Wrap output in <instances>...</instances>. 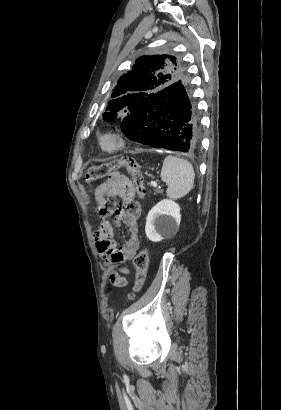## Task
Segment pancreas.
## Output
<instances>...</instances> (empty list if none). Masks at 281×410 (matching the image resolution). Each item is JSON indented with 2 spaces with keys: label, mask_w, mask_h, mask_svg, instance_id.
<instances>
[{
  "label": "pancreas",
  "mask_w": 281,
  "mask_h": 410,
  "mask_svg": "<svg viewBox=\"0 0 281 410\" xmlns=\"http://www.w3.org/2000/svg\"><path fill=\"white\" fill-rule=\"evenodd\" d=\"M157 192L160 193L161 191H160V190H157Z\"/></svg>",
  "instance_id": "pancreas-1"
}]
</instances>
